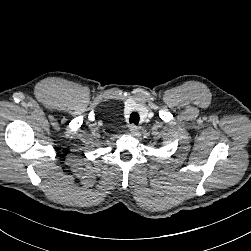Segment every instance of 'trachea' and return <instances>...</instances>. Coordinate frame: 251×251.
<instances>
[{
    "label": "trachea",
    "instance_id": "obj_1",
    "mask_svg": "<svg viewBox=\"0 0 251 251\" xmlns=\"http://www.w3.org/2000/svg\"><path fill=\"white\" fill-rule=\"evenodd\" d=\"M139 114L137 112H132L131 115H130V123H133L135 125H138L139 123Z\"/></svg>",
    "mask_w": 251,
    "mask_h": 251
}]
</instances>
